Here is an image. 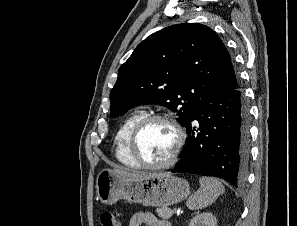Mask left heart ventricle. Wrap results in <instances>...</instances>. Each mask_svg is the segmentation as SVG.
<instances>
[{
  "mask_svg": "<svg viewBox=\"0 0 297 226\" xmlns=\"http://www.w3.org/2000/svg\"><path fill=\"white\" fill-rule=\"evenodd\" d=\"M176 135L173 128L162 121L151 122L141 131L137 150L141 158L150 164L167 160L175 146Z\"/></svg>",
  "mask_w": 297,
  "mask_h": 226,
  "instance_id": "left-heart-ventricle-1",
  "label": "left heart ventricle"
}]
</instances>
